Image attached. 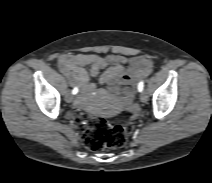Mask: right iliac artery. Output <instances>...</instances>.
I'll return each mask as SVG.
<instances>
[{
	"instance_id": "right-iliac-artery-1",
	"label": "right iliac artery",
	"mask_w": 212,
	"mask_h": 183,
	"mask_svg": "<svg viewBox=\"0 0 212 183\" xmlns=\"http://www.w3.org/2000/svg\"><path fill=\"white\" fill-rule=\"evenodd\" d=\"M77 92H78V88L75 87V88L72 90V94H77Z\"/></svg>"
}]
</instances>
